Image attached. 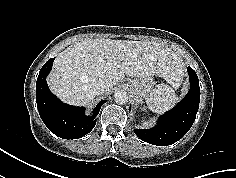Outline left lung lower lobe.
Returning <instances> with one entry per match:
<instances>
[{"label": "left lung lower lobe", "instance_id": "0a47b994", "mask_svg": "<svg viewBox=\"0 0 236 178\" xmlns=\"http://www.w3.org/2000/svg\"><path fill=\"white\" fill-rule=\"evenodd\" d=\"M190 89L184 99L172 110L159 117L157 125L151 129H135V134L143 141L167 146L180 140L195 121L200 102L199 79L195 71L188 67Z\"/></svg>", "mask_w": 236, "mask_h": 178}]
</instances>
